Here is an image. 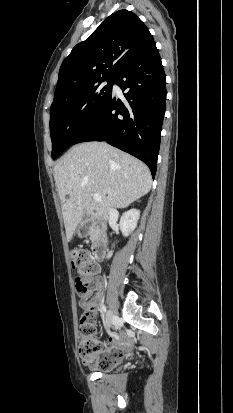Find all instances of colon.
<instances>
[{
	"mask_svg": "<svg viewBox=\"0 0 233 413\" xmlns=\"http://www.w3.org/2000/svg\"><path fill=\"white\" fill-rule=\"evenodd\" d=\"M72 265L77 271L76 291L82 297L95 289L98 265L91 259L86 249H74L71 252ZM79 355L90 366L110 369L121 360L120 354L100 356V344L96 338L95 315L86 311L80 320Z\"/></svg>",
	"mask_w": 233,
	"mask_h": 413,
	"instance_id": "5ec220e1",
	"label": "colon"
}]
</instances>
